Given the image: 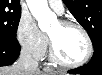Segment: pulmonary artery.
I'll return each mask as SVG.
<instances>
[{
	"label": "pulmonary artery",
	"mask_w": 102,
	"mask_h": 75,
	"mask_svg": "<svg viewBox=\"0 0 102 75\" xmlns=\"http://www.w3.org/2000/svg\"><path fill=\"white\" fill-rule=\"evenodd\" d=\"M48 4L58 14H62L63 13V11H64V3H63L62 0H48Z\"/></svg>",
	"instance_id": "pulmonary-artery-1"
}]
</instances>
